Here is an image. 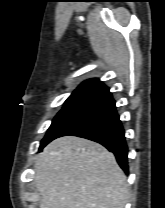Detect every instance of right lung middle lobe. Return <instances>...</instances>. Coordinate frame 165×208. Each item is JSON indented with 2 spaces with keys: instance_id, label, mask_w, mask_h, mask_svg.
Listing matches in <instances>:
<instances>
[{
  "instance_id": "dd1d6c3e",
  "label": "right lung middle lobe",
  "mask_w": 165,
  "mask_h": 208,
  "mask_svg": "<svg viewBox=\"0 0 165 208\" xmlns=\"http://www.w3.org/2000/svg\"><path fill=\"white\" fill-rule=\"evenodd\" d=\"M91 109L92 108L85 106H64L53 119L44 139L41 141L39 151H42V148L45 145L57 138L69 126L87 114Z\"/></svg>"
}]
</instances>
